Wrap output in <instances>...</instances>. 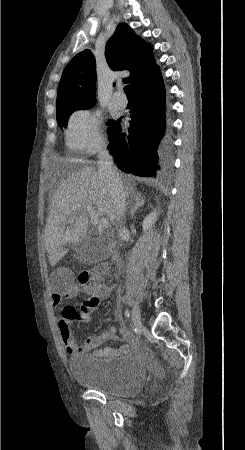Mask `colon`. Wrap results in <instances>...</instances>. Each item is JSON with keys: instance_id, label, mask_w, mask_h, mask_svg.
<instances>
[{"instance_id": "5ec220e1", "label": "colon", "mask_w": 245, "mask_h": 450, "mask_svg": "<svg viewBox=\"0 0 245 450\" xmlns=\"http://www.w3.org/2000/svg\"><path fill=\"white\" fill-rule=\"evenodd\" d=\"M107 271V268L103 265H98L94 270H86L81 273H79L76 277L75 283H76V289L82 293L85 294H91L93 292V286H94V275L99 272H105ZM96 305V301H94L92 298H87L84 300L81 304V307L85 310H91L93 306ZM63 317L66 318L67 322H71L74 320L80 319V314L78 311L74 310L70 306H67L63 308L62 310ZM111 334H105L104 338L109 339L111 338Z\"/></svg>"}]
</instances>
